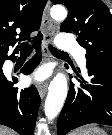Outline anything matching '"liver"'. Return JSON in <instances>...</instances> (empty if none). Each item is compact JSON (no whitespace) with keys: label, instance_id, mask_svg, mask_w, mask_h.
<instances>
[{"label":"liver","instance_id":"1","mask_svg":"<svg viewBox=\"0 0 112 135\" xmlns=\"http://www.w3.org/2000/svg\"><path fill=\"white\" fill-rule=\"evenodd\" d=\"M0 135H16V133L14 131L0 125Z\"/></svg>","mask_w":112,"mask_h":135}]
</instances>
